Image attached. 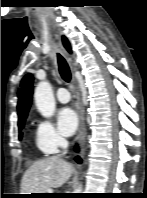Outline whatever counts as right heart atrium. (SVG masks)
Wrapping results in <instances>:
<instances>
[{
	"mask_svg": "<svg viewBox=\"0 0 147 198\" xmlns=\"http://www.w3.org/2000/svg\"><path fill=\"white\" fill-rule=\"evenodd\" d=\"M36 142L38 148L45 154H53L64 144L65 140L58 133L53 123L46 119L37 122Z\"/></svg>",
	"mask_w": 147,
	"mask_h": 198,
	"instance_id": "right-heart-atrium-1",
	"label": "right heart atrium"
}]
</instances>
